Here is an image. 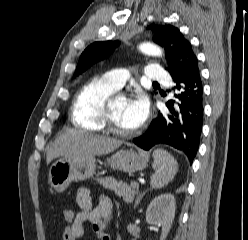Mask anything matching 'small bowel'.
<instances>
[{
    "mask_svg": "<svg viewBox=\"0 0 248 240\" xmlns=\"http://www.w3.org/2000/svg\"><path fill=\"white\" fill-rule=\"evenodd\" d=\"M76 203L80 211L75 214L73 220L66 224L62 240H78L84 233V223L89 222L100 240H111L104 232L106 223L113 215L114 205L105 194L97 197V205L93 207L90 191L86 187H80L76 195Z\"/></svg>",
    "mask_w": 248,
    "mask_h": 240,
    "instance_id": "obj_1",
    "label": "small bowel"
}]
</instances>
